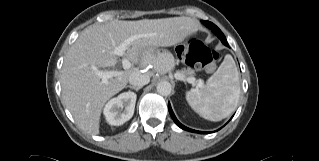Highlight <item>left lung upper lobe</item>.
Returning <instances> with one entry per match:
<instances>
[{"label": "left lung upper lobe", "mask_w": 319, "mask_h": 161, "mask_svg": "<svg viewBox=\"0 0 319 161\" xmlns=\"http://www.w3.org/2000/svg\"><path fill=\"white\" fill-rule=\"evenodd\" d=\"M206 24L208 25V27H210V26L213 25V23H211V22H209V21H207ZM214 33L218 36V38L222 41V43H223L224 45L227 43V40H226L224 34L221 32L220 29H218V30L215 31Z\"/></svg>", "instance_id": "obj_1"}]
</instances>
